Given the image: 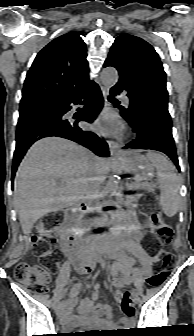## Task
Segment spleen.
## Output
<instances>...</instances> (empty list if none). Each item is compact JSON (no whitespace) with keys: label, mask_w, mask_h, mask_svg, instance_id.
Instances as JSON below:
<instances>
[{"label":"spleen","mask_w":194,"mask_h":336,"mask_svg":"<svg viewBox=\"0 0 194 336\" xmlns=\"http://www.w3.org/2000/svg\"><path fill=\"white\" fill-rule=\"evenodd\" d=\"M147 158L157 170L161 192L160 204L163 212L166 216L172 217L178 211L180 178L164 155L158 152H148Z\"/></svg>","instance_id":"3e777b00"}]
</instances>
